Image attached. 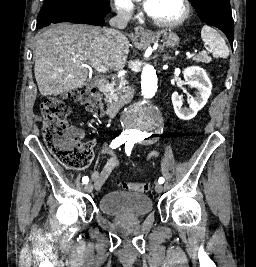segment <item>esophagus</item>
Here are the masks:
<instances>
[{
	"instance_id": "obj_1",
	"label": "esophagus",
	"mask_w": 256,
	"mask_h": 267,
	"mask_svg": "<svg viewBox=\"0 0 256 267\" xmlns=\"http://www.w3.org/2000/svg\"><path fill=\"white\" fill-rule=\"evenodd\" d=\"M135 35H141V36H153V34L147 30H145L141 25H137L134 28Z\"/></svg>"
}]
</instances>
